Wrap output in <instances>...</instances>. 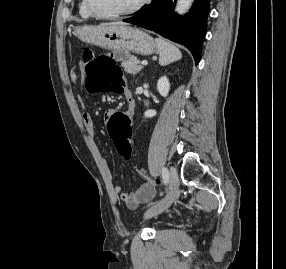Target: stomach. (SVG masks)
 I'll list each match as a JSON object with an SVG mask.
<instances>
[{
	"label": "stomach",
	"mask_w": 286,
	"mask_h": 269,
	"mask_svg": "<svg viewBox=\"0 0 286 269\" xmlns=\"http://www.w3.org/2000/svg\"><path fill=\"white\" fill-rule=\"evenodd\" d=\"M75 35L83 42L113 51L114 49H132L140 55H151L156 52L154 39L136 27L125 25L79 26Z\"/></svg>",
	"instance_id": "1"
}]
</instances>
